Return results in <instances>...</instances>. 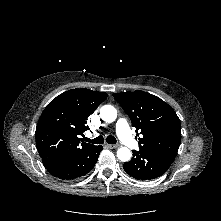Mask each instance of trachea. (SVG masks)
<instances>
[{
	"mask_svg": "<svg viewBox=\"0 0 221 221\" xmlns=\"http://www.w3.org/2000/svg\"><path fill=\"white\" fill-rule=\"evenodd\" d=\"M84 141L89 142V143H93V144H102L104 142V138L101 135L98 136L97 138L92 139V140L84 137ZM106 142L109 144H116V138L114 136H108L106 138Z\"/></svg>",
	"mask_w": 221,
	"mask_h": 221,
	"instance_id": "3493384b",
	"label": "trachea"
}]
</instances>
